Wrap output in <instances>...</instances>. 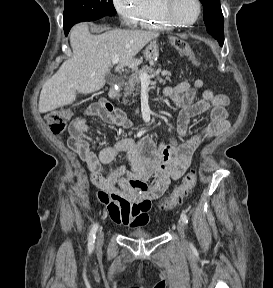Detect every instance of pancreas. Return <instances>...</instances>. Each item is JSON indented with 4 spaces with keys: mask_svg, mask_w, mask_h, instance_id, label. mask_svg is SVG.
<instances>
[{
    "mask_svg": "<svg viewBox=\"0 0 273 288\" xmlns=\"http://www.w3.org/2000/svg\"><path fill=\"white\" fill-rule=\"evenodd\" d=\"M154 72L152 67L144 66L140 70L136 71L129 80L124 84V97H129L131 95L136 96L137 92L140 90V75L142 73L151 74ZM161 75L164 77H158L159 82H171V73L167 70H163Z\"/></svg>",
    "mask_w": 273,
    "mask_h": 288,
    "instance_id": "obj_1",
    "label": "pancreas"
}]
</instances>
